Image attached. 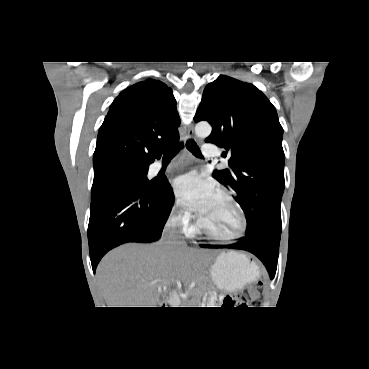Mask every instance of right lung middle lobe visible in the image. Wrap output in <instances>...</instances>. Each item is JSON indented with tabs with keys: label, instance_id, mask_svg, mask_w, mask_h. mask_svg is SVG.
<instances>
[{
	"label": "right lung middle lobe",
	"instance_id": "dd1d6c3e",
	"mask_svg": "<svg viewBox=\"0 0 369 369\" xmlns=\"http://www.w3.org/2000/svg\"><path fill=\"white\" fill-rule=\"evenodd\" d=\"M149 164H139L127 161H112L94 165V181L91 197L120 179H131L144 187H152L159 180L147 179Z\"/></svg>",
	"mask_w": 369,
	"mask_h": 369
}]
</instances>
